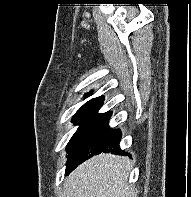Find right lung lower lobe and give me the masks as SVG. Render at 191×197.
Masks as SVG:
<instances>
[{
	"label": "right lung lower lobe",
	"mask_w": 191,
	"mask_h": 197,
	"mask_svg": "<svg viewBox=\"0 0 191 197\" xmlns=\"http://www.w3.org/2000/svg\"><path fill=\"white\" fill-rule=\"evenodd\" d=\"M102 103L92 109L84 121L67 161L66 175L80 163L101 152L125 154L119 147L121 131L119 129L112 130L108 125L111 112L98 113Z\"/></svg>",
	"instance_id": "98d812e1"
}]
</instances>
